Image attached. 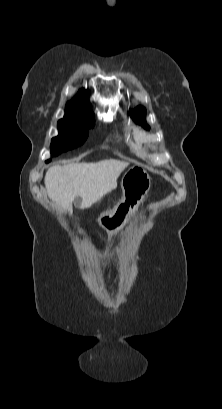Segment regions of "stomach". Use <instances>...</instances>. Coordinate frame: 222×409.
<instances>
[{
    "label": "stomach",
    "mask_w": 222,
    "mask_h": 409,
    "mask_svg": "<svg viewBox=\"0 0 222 409\" xmlns=\"http://www.w3.org/2000/svg\"><path fill=\"white\" fill-rule=\"evenodd\" d=\"M150 187L151 178L141 167L133 166L125 172L121 180L123 196L120 203L113 212L99 218L100 225L107 233L117 232L128 222L148 194Z\"/></svg>",
    "instance_id": "0dacf381"
}]
</instances>
